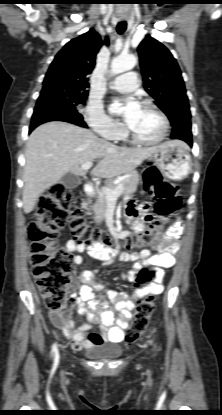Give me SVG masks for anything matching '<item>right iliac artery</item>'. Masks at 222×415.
I'll return each instance as SVG.
<instances>
[{"label":"right iliac artery","mask_w":222,"mask_h":415,"mask_svg":"<svg viewBox=\"0 0 222 415\" xmlns=\"http://www.w3.org/2000/svg\"><path fill=\"white\" fill-rule=\"evenodd\" d=\"M52 355H55V365L58 363V350L56 344L52 347Z\"/></svg>","instance_id":"1"}]
</instances>
